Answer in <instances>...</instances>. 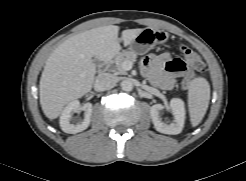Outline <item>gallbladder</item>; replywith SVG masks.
Masks as SVG:
<instances>
[{"label": "gallbladder", "mask_w": 246, "mask_h": 181, "mask_svg": "<svg viewBox=\"0 0 246 181\" xmlns=\"http://www.w3.org/2000/svg\"><path fill=\"white\" fill-rule=\"evenodd\" d=\"M93 63H94L95 65H98V64L100 63V61H99L98 59H96V58H93Z\"/></svg>", "instance_id": "bac80fb5"}]
</instances>
